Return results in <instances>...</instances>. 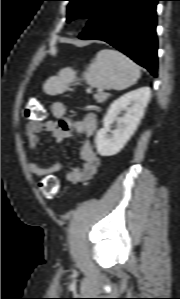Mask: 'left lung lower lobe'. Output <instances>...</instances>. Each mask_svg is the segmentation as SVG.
Masks as SVG:
<instances>
[{
	"instance_id": "1",
	"label": "left lung lower lobe",
	"mask_w": 180,
	"mask_h": 299,
	"mask_svg": "<svg viewBox=\"0 0 180 299\" xmlns=\"http://www.w3.org/2000/svg\"><path fill=\"white\" fill-rule=\"evenodd\" d=\"M158 1L101 0L79 38L109 43L156 77Z\"/></svg>"
}]
</instances>
